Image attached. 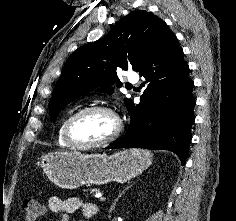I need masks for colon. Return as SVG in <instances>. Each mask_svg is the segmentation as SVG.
<instances>
[{"instance_id": "obj_1", "label": "colon", "mask_w": 236, "mask_h": 221, "mask_svg": "<svg viewBox=\"0 0 236 221\" xmlns=\"http://www.w3.org/2000/svg\"><path fill=\"white\" fill-rule=\"evenodd\" d=\"M22 210L26 221H38L44 212V206L35 199H27L23 202Z\"/></svg>"}]
</instances>
